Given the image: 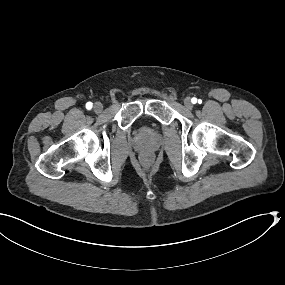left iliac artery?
<instances>
[{
    "label": "left iliac artery",
    "mask_w": 285,
    "mask_h": 285,
    "mask_svg": "<svg viewBox=\"0 0 285 285\" xmlns=\"http://www.w3.org/2000/svg\"><path fill=\"white\" fill-rule=\"evenodd\" d=\"M197 102L196 98H192V103L195 104Z\"/></svg>",
    "instance_id": "1"
}]
</instances>
